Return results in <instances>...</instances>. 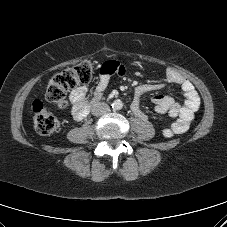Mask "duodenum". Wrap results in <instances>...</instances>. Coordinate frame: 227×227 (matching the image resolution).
I'll return each mask as SVG.
<instances>
[{
	"mask_svg": "<svg viewBox=\"0 0 227 227\" xmlns=\"http://www.w3.org/2000/svg\"><path fill=\"white\" fill-rule=\"evenodd\" d=\"M97 101H98V99H93L91 103L94 104V103H96ZM89 105H90V103H89Z\"/></svg>",
	"mask_w": 227,
	"mask_h": 227,
	"instance_id": "1",
	"label": "duodenum"
}]
</instances>
